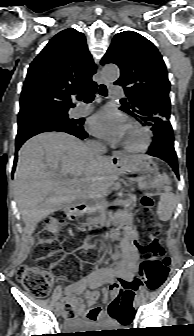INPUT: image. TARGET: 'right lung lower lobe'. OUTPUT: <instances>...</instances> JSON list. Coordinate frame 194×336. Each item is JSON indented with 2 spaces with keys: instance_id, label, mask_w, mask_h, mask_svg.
I'll return each mask as SVG.
<instances>
[{
  "instance_id": "1",
  "label": "right lung lower lobe",
  "mask_w": 194,
  "mask_h": 336,
  "mask_svg": "<svg viewBox=\"0 0 194 336\" xmlns=\"http://www.w3.org/2000/svg\"><path fill=\"white\" fill-rule=\"evenodd\" d=\"M97 86L93 89V91H96ZM80 124L72 127V128H39V129H32V130H27V131H23L19 134H17L16 137V157L14 160V166H13V171L15 170L16 167V162H17V152L19 150V148L21 147V145L28 140L29 138H31L32 136L42 133V132H48V131H61V132H66L69 133L71 135H74L80 139H85L87 138L88 134L85 132V130L82 127L83 124V120H79Z\"/></svg>"
}]
</instances>
